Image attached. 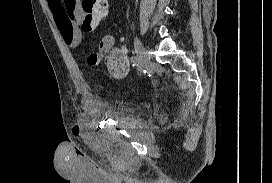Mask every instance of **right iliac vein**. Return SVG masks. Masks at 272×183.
<instances>
[{
	"instance_id": "right-iliac-vein-1",
	"label": "right iliac vein",
	"mask_w": 272,
	"mask_h": 183,
	"mask_svg": "<svg viewBox=\"0 0 272 183\" xmlns=\"http://www.w3.org/2000/svg\"><path fill=\"white\" fill-rule=\"evenodd\" d=\"M134 48L137 54L139 68H141V70L147 68L150 59L146 49L138 38L134 40Z\"/></svg>"
}]
</instances>
